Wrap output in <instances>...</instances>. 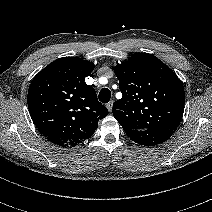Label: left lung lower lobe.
I'll list each match as a JSON object with an SVG mask.
<instances>
[{
	"label": "left lung lower lobe",
	"mask_w": 212,
	"mask_h": 212,
	"mask_svg": "<svg viewBox=\"0 0 212 212\" xmlns=\"http://www.w3.org/2000/svg\"><path fill=\"white\" fill-rule=\"evenodd\" d=\"M173 133L174 130L148 128L144 130H133L128 132L127 135L138 144L155 146L168 140Z\"/></svg>",
	"instance_id": "left-lung-lower-lobe-1"
}]
</instances>
